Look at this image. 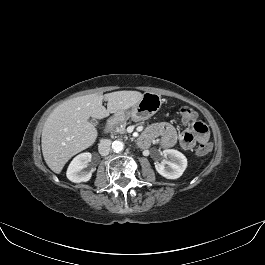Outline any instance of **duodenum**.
<instances>
[{"mask_svg":"<svg viewBox=\"0 0 265 265\" xmlns=\"http://www.w3.org/2000/svg\"><path fill=\"white\" fill-rule=\"evenodd\" d=\"M118 117L117 116H112L107 120L106 126H105V132L108 133L113 129V127L117 124L118 122ZM142 143V140H140Z\"/></svg>","mask_w":265,"mask_h":265,"instance_id":"duodenum-1","label":"duodenum"}]
</instances>
